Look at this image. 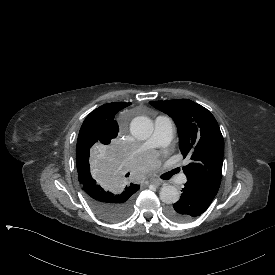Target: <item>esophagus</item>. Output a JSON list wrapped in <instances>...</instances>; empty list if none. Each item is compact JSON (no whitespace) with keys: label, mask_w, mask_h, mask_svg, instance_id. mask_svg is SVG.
Segmentation results:
<instances>
[{"label":"esophagus","mask_w":275,"mask_h":275,"mask_svg":"<svg viewBox=\"0 0 275 275\" xmlns=\"http://www.w3.org/2000/svg\"><path fill=\"white\" fill-rule=\"evenodd\" d=\"M150 183L154 186H161L163 182L159 179H152Z\"/></svg>","instance_id":"esophagus-1"}]
</instances>
